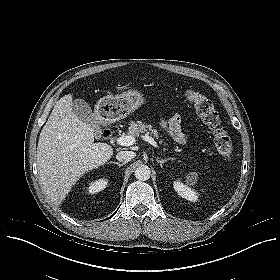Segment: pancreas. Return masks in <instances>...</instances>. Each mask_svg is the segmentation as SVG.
I'll use <instances>...</instances> for the list:
<instances>
[{
  "mask_svg": "<svg viewBox=\"0 0 280 280\" xmlns=\"http://www.w3.org/2000/svg\"><path fill=\"white\" fill-rule=\"evenodd\" d=\"M129 128H128V134L133 136V137H139L140 135H153L154 137H156L157 139L160 137L159 133L156 129H153V127L149 124H145L141 121H137V122H131L129 124ZM163 142V141H160Z\"/></svg>",
  "mask_w": 280,
  "mask_h": 280,
  "instance_id": "cf45deb5",
  "label": "pancreas"
}]
</instances>
